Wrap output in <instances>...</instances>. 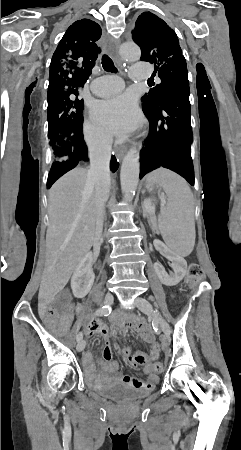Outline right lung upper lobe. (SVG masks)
<instances>
[{"label":"right lung upper lobe","instance_id":"obj_1","mask_svg":"<svg viewBox=\"0 0 241 450\" xmlns=\"http://www.w3.org/2000/svg\"><path fill=\"white\" fill-rule=\"evenodd\" d=\"M101 32L89 19L78 20L67 29L51 59L48 99L84 85L101 53Z\"/></svg>","mask_w":241,"mask_h":450}]
</instances>
